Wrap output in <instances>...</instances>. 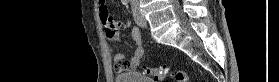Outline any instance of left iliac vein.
Here are the masks:
<instances>
[{"label": "left iliac vein", "instance_id": "obj_1", "mask_svg": "<svg viewBox=\"0 0 279 82\" xmlns=\"http://www.w3.org/2000/svg\"><path fill=\"white\" fill-rule=\"evenodd\" d=\"M133 16L134 20L137 23V25L141 27H146L147 26V21L146 19L142 16L140 10L138 7L133 8Z\"/></svg>", "mask_w": 279, "mask_h": 82}]
</instances>
